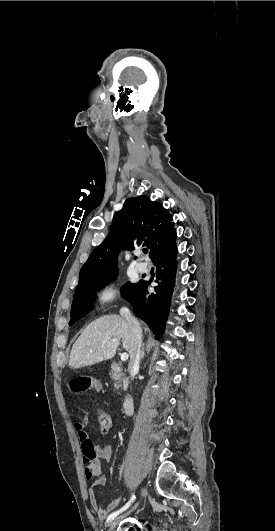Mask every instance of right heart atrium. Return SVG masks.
Returning a JSON list of instances; mask_svg holds the SVG:
<instances>
[{
  "mask_svg": "<svg viewBox=\"0 0 275 531\" xmlns=\"http://www.w3.org/2000/svg\"><path fill=\"white\" fill-rule=\"evenodd\" d=\"M114 288L111 285L105 286L100 292V298L102 301H109L114 296Z\"/></svg>",
  "mask_w": 275,
  "mask_h": 531,
  "instance_id": "obj_1",
  "label": "right heart atrium"
}]
</instances>
